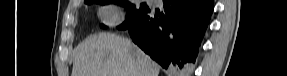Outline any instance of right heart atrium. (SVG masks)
<instances>
[{"instance_id":"obj_1","label":"right heart atrium","mask_w":287,"mask_h":76,"mask_svg":"<svg viewBox=\"0 0 287 76\" xmlns=\"http://www.w3.org/2000/svg\"><path fill=\"white\" fill-rule=\"evenodd\" d=\"M100 18L106 25L113 26L120 22L121 15L115 6L107 5L100 9Z\"/></svg>"}]
</instances>
